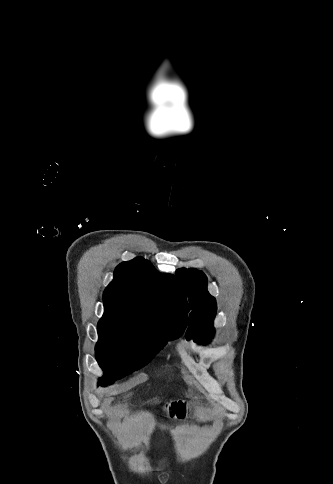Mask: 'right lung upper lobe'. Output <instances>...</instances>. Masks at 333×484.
<instances>
[{"label":"right lung upper lobe","instance_id":"1","mask_svg":"<svg viewBox=\"0 0 333 484\" xmlns=\"http://www.w3.org/2000/svg\"><path fill=\"white\" fill-rule=\"evenodd\" d=\"M114 280L103 294L102 319L138 323L154 332L177 328L182 333L189 311L178 280L161 274L153 265L135 258L115 269Z\"/></svg>","mask_w":333,"mask_h":484}]
</instances>
